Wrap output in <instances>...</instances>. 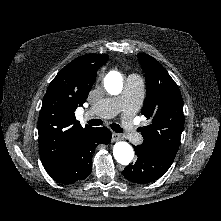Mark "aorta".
<instances>
[{"mask_svg": "<svg viewBox=\"0 0 221 221\" xmlns=\"http://www.w3.org/2000/svg\"><path fill=\"white\" fill-rule=\"evenodd\" d=\"M104 86L111 95L119 94L123 88L122 75L117 71L109 72L104 79ZM113 155L119 164L128 165L134 158V150L127 142L119 141L113 147Z\"/></svg>", "mask_w": 221, "mask_h": 221, "instance_id": "obj_1", "label": "aorta"}]
</instances>
